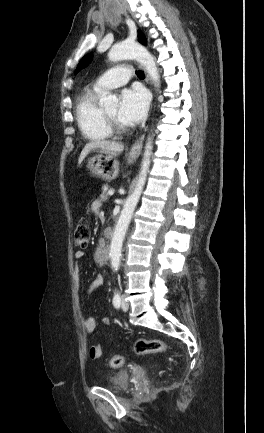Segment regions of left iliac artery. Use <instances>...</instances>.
I'll return each mask as SVG.
<instances>
[{"label":"left iliac artery","mask_w":264,"mask_h":433,"mask_svg":"<svg viewBox=\"0 0 264 433\" xmlns=\"http://www.w3.org/2000/svg\"><path fill=\"white\" fill-rule=\"evenodd\" d=\"M120 301H121L120 294H119V292H116L114 295V298H113V304L116 308L120 307Z\"/></svg>","instance_id":"obj_1"}]
</instances>
